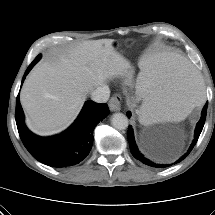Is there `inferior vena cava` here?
<instances>
[{"mask_svg":"<svg viewBox=\"0 0 215 215\" xmlns=\"http://www.w3.org/2000/svg\"><path fill=\"white\" fill-rule=\"evenodd\" d=\"M110 97L108 86H100L91 92V99L97 103H105Z\"/></svg>","mask_w":215,"mask_h":215,"instance_id":"obj_1","label":"inferior vena cava"}]
</instances>
